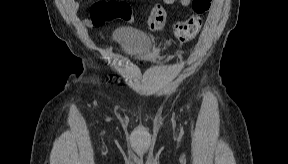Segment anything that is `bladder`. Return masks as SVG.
<instances>
[{
  "label": "bladder",
  "instance_id": "31cf9c89",
  "mask_svg": "<svg viewBox=\"0 0 288 164\" xmlns=\"http://www.w3.org/2000/svg\"><path fill=\"white\" fill-rule=\"evenodd\" d=\"M121 41L129 53L144 57L153 49V42L148 37L136 36L133 34H123Z\"/></svg>",
  "mask_w": 288,
  "mask_h": 164
}]
</instances>
